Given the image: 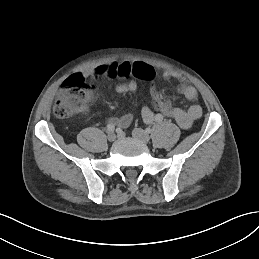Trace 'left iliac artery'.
<instances>
[{
	"mask_svg": "<svg viewBox=\"0 0 259 259\" xmlns=\"http://www.w3.org/2000/svg\"><path fill=\"white\" fill-rule=\"evenodd\" d=\"M162 120H163V115L162 114H157L155 116V121L156 122L160 123V122H162Z\"/></svg>",
	"mask_w": 259,
	"mask_h": 259,
	"instance_id": "44dca946",
	"label": "left iliac artery"
}]
</instances>
